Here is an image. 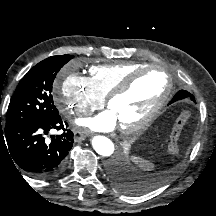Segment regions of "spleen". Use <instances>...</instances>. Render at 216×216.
<instances>
[{
	"label": "spleen",
	"instance_id": "spleen-1",
	"mask_svg": "<svg viewBox=\"0 0 216 216\" xmlns=\"http://www.w3.org/2000/svg\"><path fill=\"white\" fill-rule=\"evenodd\" d=\"M131 159H132V161L134 163H136L137 165H139V167L142 170L150 171V170H152L154 168V165L150 161H148V160L142 159L140 157H132Z\"/></svg>",
	"mask_w": 216,
	"mask_h": 216
}]
</instances>
